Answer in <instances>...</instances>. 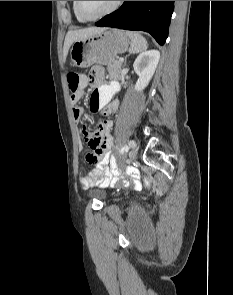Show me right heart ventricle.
Masks as SVG:
<instances>
[{
	"instance_id": "1",
	"label": "right heart ventricle",
	"mask_w": 233,
	"mask_h": 295,
	"mask_svg": "<svg viewBox=\"0 0 233 295\" xmlns=\"http://www.w3.org/2000/svg\"><path fill=\"white\" fill-rule=\"evenodd\" d=\"M73 11H74V14H75V17L77 18V20L78 21H80V22H85V20H83L78 14H77V12H76V10H75V1H73Z\"/></svg>"
}]
</instances>
